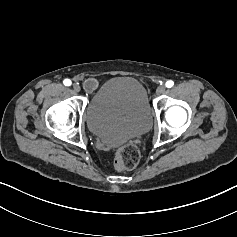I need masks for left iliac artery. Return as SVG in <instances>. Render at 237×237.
Returning a JSON list of instances; mask_svg holds the SVG:
<instances>
[{
	"label": "left iliac artery",
	"mask_w": 237,
	"mask_h": 237,
	"mask_svg": "<svg viewBox=\"0 0 237 237\" xmlns=\"http://www.w3.org/2000/svg\"><path fill=\"white\" fill-rule=\"evenodd\" d=\"M165 85H166L167 88H171L174 85V82L172 80H169V81L166 82Z\"/></svg>",
	"instance_id": "left-iliac-artery-1"
}]
</instances>
